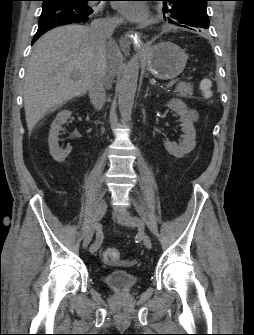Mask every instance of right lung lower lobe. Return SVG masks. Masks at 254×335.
Segmentation results:
<instances>
[{
  "mask_svg": "<svg viewBox=\"0 0 254 335\" xmlns=\"http://www.w3.org/2000/svg\"><path fill=\"white\" fill-rule=\"evenodd\" d=\"M92 0H43L34 43L41 35L60 25L87 21L94 11Z\"/></svg>",
  "mask_w": 254,
  "mask_h": 335,
  "instance_id": "right-lung-lower-lobe-1",
  "label": "right lung lower lobe"
}]
</instances>
